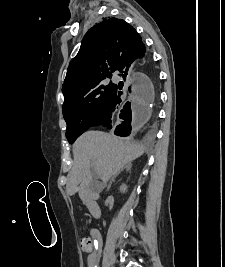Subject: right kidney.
I'll return each instance as SVG.
<instances>
[{
  "instance_id": "right-kidney-1",
  "label": "right kidney",
  "mask_w": 225,
  "mask_h": 267,
  "mask_svg": "<svg viewBox=\"0 0 225 267\" xmlns=\"http://www.w3.org/2000/svg\"><path fill=\"white\" fill-rule=\"evenodd\" d=\"M126 190H127V186L125 184L120 186V192L125 193Z\"/></svg>"
}]
</instances>
